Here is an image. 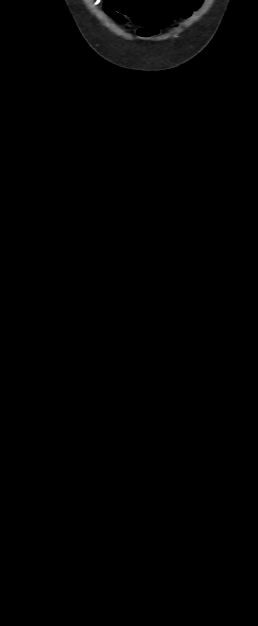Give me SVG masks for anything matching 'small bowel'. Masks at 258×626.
Returning a JSON list of instances; mask_svg holds the SVG:
<instances>
[{
    "label": "small bowel",
    "instance_id": "1",
    "mask_svg": "<svg viewBox=\"0 0 258 626\" xmlns=\"http://www.w3.org/2000/svg\"><path fill=\"white\" fill-rule=\"evenodd\" d=\"M201 2L202 0L180 1L178 5L171 8L167 13L154 17L153 20L162 22L161 25L159 24L148 25V24L137 23L138 25H140V28L138 29L139 35L144 38L155 36L160 30V28L167 27L168 25L171 24L173 20L188 17L194 9L199 7ZM105 7H106L107 12L111 14L112 16H114L117 20L119 21L125 20L127 13L124 11V9L120 10L116 6L114 1L112 0L107 1ZM128 16H132V15H128Z\"/></svg>",
    "mask_w": 258,
    "mask_h": 626
}]
</instances>
